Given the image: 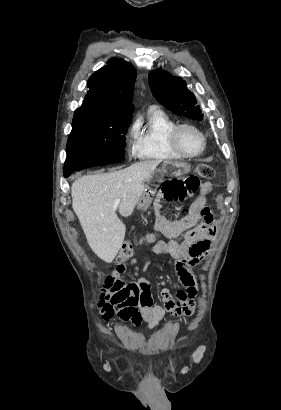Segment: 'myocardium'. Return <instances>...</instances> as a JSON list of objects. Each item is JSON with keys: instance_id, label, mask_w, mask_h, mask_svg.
<instances>
[{"instance_id": "1", "label": "myocardium", "mask_w": 281, "mask_h": 410, "mask_svg": "<svg viewBox=\"0 0 281 410\" xmlns=\"http://www.w3.org/2000/svg\"><path fill=\"white\" fill-rule=\"evenodd\" d=\"M185 129L194 130L200 135L201 140H202V146L197 152L189 153L182 147L181 142H180V135H181L182 131L185 130ZM170 143H171L172 148L176 152H178L181 156H183L184 158H194V157H197V156L201 155L204 152V150L206 149L207 138H206L204 132L199 127H197L196 125L191 124V123H181V124H177L174 127V129L171 131V133H170Z\"/></svg>"}]
</instances>
